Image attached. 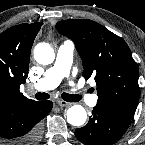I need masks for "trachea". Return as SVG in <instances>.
<instances>
[{"instance_id":"obj_1","label":"trachea","mask_w":145,"mask_h":145,"mask_svg":"<svg viewBox=\"0 0 145 145\" xmlns=\"http://www.w3.org/2000/svg\"><path fill=\"white\" fill-rule=\"evenodd\" d=\"M62 98L68 102H78L81 100V96L79 95H74V94H67V93H62ZM50 97V95L48 93H45V92H38L36 95H35V98L37 100H46Z\"/></svg>"}]
</instances>
